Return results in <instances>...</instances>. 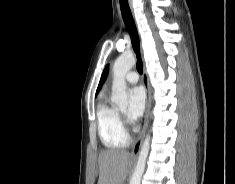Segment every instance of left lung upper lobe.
Here are the masks:
<instances>
[{
  "instance_id": "obj_1",
  "label": "left lung upper lobe",
  "mask_w": 235,
  "mask_h": 184,
  "mask_svg": "<svg viewBox=\"0 0 235 184\" xmlns=\"http://www.w3.org/2000/svg\"><path fill=\"white\" fill-rule=\"evenodd\" d=\"M107 75H108V66H106V68L104 69L103 73H102V76H101V79H100V82H99V85H98V88H97V91H96V94L99 92V90L101 89L103 83L105 82L106 78H107Z\"/></svg>"
}]
</instances>
